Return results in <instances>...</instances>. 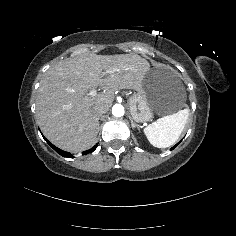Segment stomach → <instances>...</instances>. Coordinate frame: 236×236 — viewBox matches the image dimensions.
<instances>
[{"label":"stomach","instance_id":"obj_1","mask_svg":"<svg viewBox=\"0 0 236 236\" xmlns=\"http://www.w3.org/2000/svg\"><path fill=\"white\" fill-rule=\"evenodd\" d=\"M128 99L131 117L136 122L150 121L154 113L171 115L186 103V92L177 75L161 67L151 68Z\"/></svg>","mask_w":236,"mask_h":236}]
</instances>
